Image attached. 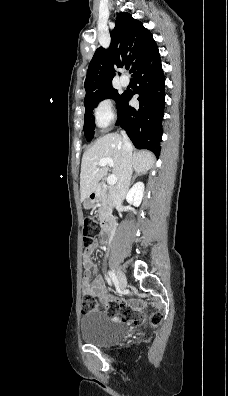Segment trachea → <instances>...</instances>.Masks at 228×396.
Wrapping results in <instances>:
<instances>
[{
  "label": "trachea",
  "instance_id": "1",
  "mask_svg": "<svg viewBox=\"0 0 228 396\" xmlns=\"http://www.w3.org/2000/svg\"><path fill=\"white\" fill-rule=\"evenodd\" d=\"M126 69H129V65L126 66Z\"/></svg>",
  "mask_w": 228,
  "mask_h": 396
}]
</instances>
